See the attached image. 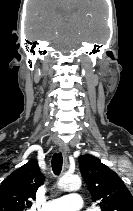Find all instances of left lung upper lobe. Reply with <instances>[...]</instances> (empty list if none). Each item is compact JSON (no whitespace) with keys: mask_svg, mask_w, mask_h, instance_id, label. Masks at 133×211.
I'll return each mask as SVG.
<instances>
[{"mask_svg":"<svg viewBox=\"0 0 133 211\" xmlns=\"http://www.w3.org/2000/svg\"><path fill=\"white\" fill-rule=\"evenodd\" d=\"M80 172L102 211H133V196L121 178L92 155L79 157Z\"/></svg>","mask_w":133,"mask_h":211,"instance_id":"5c2ea615","label":"left lung upper lobe"}]
</instances>
